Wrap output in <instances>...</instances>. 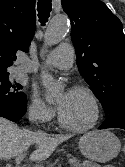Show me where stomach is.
<instances>
[{"label": "stomach", "instance_id": "0dacf381", "mask_svg": "<svg viewBox=\"0 0 125 167\" xmlns=\"http://www.w3.org/2000/svg\"><path fill=\"white\" fill-rule=\"evenodd\" d=\"M81 153L94 162H107L120 152L119 139L108 130H96L84 135L79 141Z\"/></svg>", "mask_w": 125, "mask_h": 167}]
</instances>
